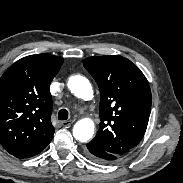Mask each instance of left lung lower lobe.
Wrapping results in <instances>:
<instances>
[{"mask_svg":"<svg viewBox=\"0 0 183 183\" xmlns=\"http://www.w3.org/2000/svg\"><path fill=\"white\" fill-rule=\"evenodd\" d=\"M86 153L91 159L101 163L110 162L119 157L103 149L98 148L90 142L87 144Z\"/></svg>","mask_w":183,"mask_h":183,"instance_id":"1","label":"left lung lower lobe"}]
</instances>
